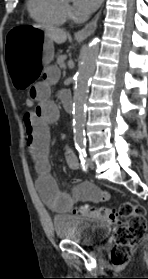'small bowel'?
Instances as JSON below:
<instances>
[{"mask_svg":"<svg viewBox=\"0 0 148 279\" xmlns=\"http://www.w3.org/2000/svg\"><path fill=\"white\" fill-rule=\"evenodd\" d=\"M59 69L48 67L43 71L42 81L29 90L37 101V105L24 115V125L27 134V147L35 162L38 179L36 186L45 204L56 213H69L78 202H98L107 198V193L100 190L95 184L73 179L75 185L71 193L62 191L49 172L48 151L50 132L49 126L59 119V109L50 99V87L59 78ZM67 93H61V100ZM64 159L69 168L77 170L79 162L75 153L66 148Z\"/></svg>","mask_w":148,"mask_h":279,"instance_id":"small-bowel-1","label":"small bowel"}]
</instances>
